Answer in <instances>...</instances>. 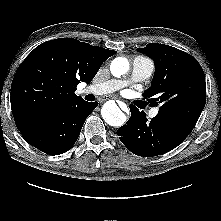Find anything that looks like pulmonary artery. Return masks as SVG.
<instances>
[{
    "label": "pulmonary artery",
    "mask_w": 221,
    "mask_h": 221,
    "mask_svg": "<svg viewBox=\"0 0 221 221\" xmlns=\"http://www.w3.org/2000/svg\"><path fill=\"white\" fill-rule=\"evenodd\" d=\"M154 71V64L151 60L136 56L132 62V71L129 79H111L103 83L94 84L86 87L83 91L94 95H103L113 93L132 82H141L148 79ZM158 114V109H153L150 113L151 117Z\"/></svg>",
    "instance_id": "1"
}]
</instances>
